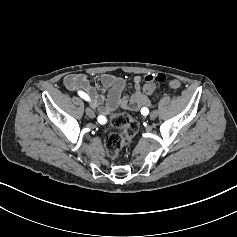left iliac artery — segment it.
Returning <instances> with one entry per match:
<instances>
[{"label": "left iliac artery", "mask_w": 237, "mask_h": 237, "mask_svg": "<svg viewBox=\"0 0 237 237\" xmlns=\"http://www.w3.org/2000/svg\"><path fill=\"white\" fill-rule=\"evenodd\" d=\"M141 113H142L143 115H147V114L149 113V110H148L146 107H143V108L141 109Z\"/></svg>", "instance_id": "1"}]
</instances>
